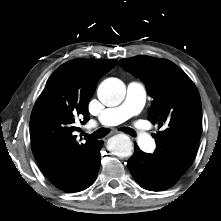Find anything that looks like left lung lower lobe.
I'll use <instances>...</instances> for the list:
<instances>
[{
	"label": "left lung lower lobe",
	"mask_w": 221,
	"mask_h": 221,
	"mask_svg": "<svg viewBox=\"0 0 221 221\" xmlns=\"http://www.w3.org/2000/svg\"><path fill=\"white\" fill-rule=\"evenodd\" d=\"M127 166L136 182L146 190L163 191L174 185L165 179L152 154L142 152L137 145Z\"/></svg>",
	"instance_id": "left-lung-lower-lobe-1"
}]
</instances>
